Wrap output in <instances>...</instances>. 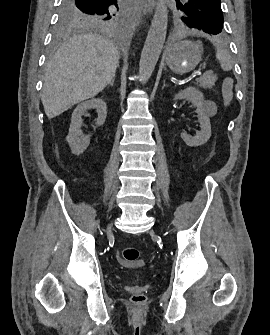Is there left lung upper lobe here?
<instances>
[{"instance_id": "1", "label": "left lung upper lobe", "mask_w": 270, "mask_h": 335, "mask_svg": "<svg viewBox=\"0 0 270 335\" xmlns=\"http://www.w3.org/2000/svg\"><path fill=\"white\" fill-rule=\"evenodd\" d=\"M177 8L183 12L181 20L191 28L217 35L223 31V13L220 0H187L185 4L176 0Z\"/></svg>"}]
</instances>
